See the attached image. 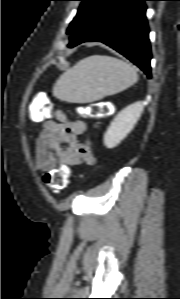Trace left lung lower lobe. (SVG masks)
Returning a JSON list of instances; mask_svg holds the SVG:
<instances>
[{
	"mask_svg": "<svg viewBox=\"0 0 180 299\" xmlns=\"http://www.w3.org/2000/svg\"><path fill=\"white\" fill-rule=\"evenodd\" d=\"M145 1L96 0L70 37L68 47L102 42L137 65L151 78V48Z\"/></svg>",
	"mask_w": 180,
	"mask_h": 299,
	"instance_id": "0a47b994",
	"label": "left lung lower lobe"
}]
</instances>
